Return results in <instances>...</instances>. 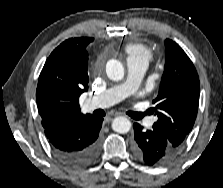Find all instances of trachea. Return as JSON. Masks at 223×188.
<instances>
[{
	"label": "trachea",
	"mask_w": 223,
	"mask_h": 188,
	"mask_svg": "<svg viewBox=\"0 0 223 188\" xmlns=\"http://www.w3.org/2000/svg\"><path fill=\"white\" fill-rule=\"evenodd\" d=\"M147 113H148V111L145 112V113L132 112V113H131V116H132L134 119L139 120V119L143 118Z\"/></svg>",
	"instance_id": "obj_1"
}]
</instances>
